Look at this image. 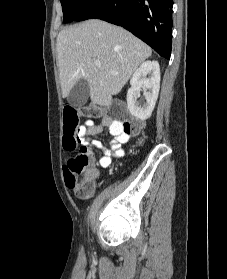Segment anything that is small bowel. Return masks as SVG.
Listing matches in <instances>:
<instances>
[{"label":"small bowel","mask_w":227,"mask_h":279,"mask_svg":"<svg viewBox=\"0 0 227 279\" xmlns=\"http://www.w3.org/2000/svg\"><path fill=\"white\" fill-rule=\"evenodd\" d=\"M115 122L110 116H104L98 123L89 121L86 129L85 144L87 149L92 152L96 148H102V142L98 139H94L93 135L101 134L106 128L109 134L112 136L110 142V149H103L102 155L99 159V166L102 168L108 167L114 158L121 157L124 154L122 145L127 143L130 138V133L124 131L120 126L114 127ZM67 175L68 172L64 170ZM98 175V169L92 167L87 172V178L93 179Z\"/></svg>","instance_id":"1"}]
</instances>
